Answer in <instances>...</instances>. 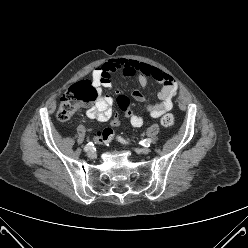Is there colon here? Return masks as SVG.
Returning a JSON list of instances; mask_svg holds the SVG:
<instances>
[{
  "instance_id": "obj_1",
  "label": "colon",
  "mask_w": 248,
  "mask_h": 248,
  "mask_svg": "<svg viewBox=\"0 0 248 248\" xmlns=\"http://www.w3.org/2000/svg\"><path fill=\"white\" fill-rule=\"evenodd\" d=\"M98 97L97 89L92 85L88 79H81L69 87V89L62 96L59 108L57 111V118L60 121L70 120L78 110L88 103L94 102ZM118 105L123 108V114L125 118H132L134 109L129 102V98L126 95H119L117 99ZM112 126H118L120 124L119 118L116 116L111 121ZM161 124L164 126H172L174 124V117L171 114H165L161 117ZM113 137L112 130H105L103 135L99 132L93 133V141L99 144H109Z\"/></svg>"
}]
</instances>
